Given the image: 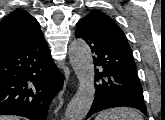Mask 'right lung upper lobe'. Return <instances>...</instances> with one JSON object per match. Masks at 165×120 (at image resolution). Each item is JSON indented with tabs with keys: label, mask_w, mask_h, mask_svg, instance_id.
Returning a JSON list of instances; mask_svg holds the SVG:
<instances>
[{
	"label": "right lung upper lobe",
	"mask_w": 165,
	"mask_h": 120,
	"mask_svg": "<svg viewBox=\"0 0 165 120\" xmlns=\"http://www.w3.org/2000/svg\"><path fill=\"white\" fill-rule=\"evenodd\" d=\"M43 35L37 20L25 10H15L0 23V51Z\"/></svg>",
	"instance_id": "obj_1"
}]
</instances>
